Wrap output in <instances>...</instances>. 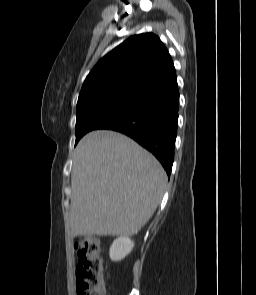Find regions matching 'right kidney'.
<instances>
[{
    "instance_id": "right-kidney-1",
    "label": "right kidney",
    "mask_w": 256,
    "mask_h": 295,
    "mask_svg": "<svg viewBox=\"0 0 256 295\" xmlns=\"http://www.w3.org/2000/svg\"><path fill=\"white\" fill-rule=\"evenodd\" d=\"M134 242L129 237H119L113 241L109 256L112 261H120L124 259L133 249Z\"/></svg>"
}]
</instances>
